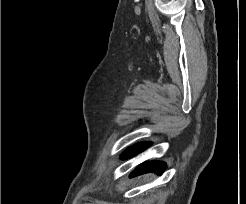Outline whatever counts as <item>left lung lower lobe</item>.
<instances>
[{
    "instance_id": "1",
    "label": "left lung lower lobe",
    "mask_w": 246,
    "mask_h": 204,
    "mask_svg": "<svg viewBox=\"0 0 246 204\" xmlns=\"http://www.w3.org/2000/svg\"><path fill=\"white\" fill-rule=\"evenodd\" d=\"M149 145L150 143H146V142L136 144L132 146L131 148H129L128 150H126L122 158L126 159L128 157H133L138 152H141L144 149H146ZM165 169H166V164L163 162H146V163L141 164L138 168H136L131 173V177L144 174V173H148V172H155L157 174H162V172Z\"/></svg>"
}]
</instances>
